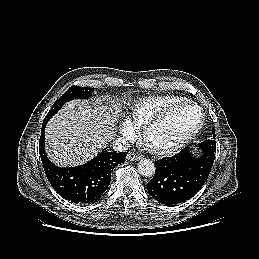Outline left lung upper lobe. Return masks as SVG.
I'll return each instance as SVG.
<instances>
[{"label": "left lung upper lobe", "mask_w": 259, "mask_h": 259, "mask_svg": "<svg viewBox=\"0 0 259 259\" xmlns=\"http://www.w3.org/2000/svg\"><path fill=\"white\" fill-rule=\"evenodd\" d=\"M213 134H214V137L212 139L205 140L201 144L216 147V142L214 141V139H215V128H213Z\"/></svg>", "instance_id": "left-lung-upper-lobe-1"}]
</instances>
